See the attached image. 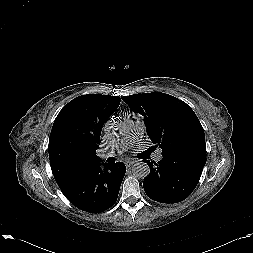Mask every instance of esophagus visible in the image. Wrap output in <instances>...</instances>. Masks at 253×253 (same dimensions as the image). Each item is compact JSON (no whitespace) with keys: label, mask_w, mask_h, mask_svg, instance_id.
Returning a JSON list of instances; mask_svg holds the SVG:
<instances>
[{"label":"esophagus","mask_w":253,"mask_h":253,"mask_svg":"<svg viewBox=\"0 0 253 253\" xmlns=\"http://www.w3.org/2000/svg\"><path fill=\"white\" fill-rule=\"evenodd\" d=\"M135 163V160L133 159H128L125 161L126 167H131Z\"/></svg>","instance_id":"obj_1"}]
</instances>
